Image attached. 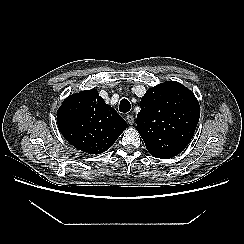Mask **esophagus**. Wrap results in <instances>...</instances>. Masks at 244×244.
Masks as SVG:
<instances>
[{
  "label": "esophagus",
  "instance_id": "obj_1",
  "mask_svg": "<svg viewBox=\"0 0 244 244\" xmlns=\"http://www.w3.org/2000/svg\"><path fill=\"white\" fill-rule=\"evenodd\" d=\"M126 120H127V122H128L130 125H132V124L134 123V117H133L132 115H130V114H127V115H126Z\"/></svg>",
  "mask_w": 244,
  "mask_h": 244
}]
</instances>
